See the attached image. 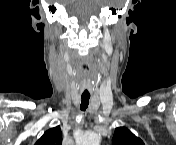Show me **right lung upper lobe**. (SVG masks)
I'll return each instance as SVG.
<instances>
[{
  "label": "right lung upper lobe",
  "mask_w": 176,
  "mask_h": 145,
  "mask_svg": "<svg viewBox=\"0 0 176 145\" xmlns=\"http://www.w3.org/2000/svg\"><path fill=\"white\" fill-rule=\"evenodd\" d=\"M62 133L59 126L47 130L35 145H61Z\"/></svg>",
  "instance_id": "obj_1"
}]
</instances>
